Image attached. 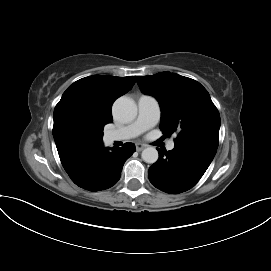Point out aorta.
<instances>
[{
	"label": "aorta",
	"mask_w": 271,
	"mask_h": 271,
	"mask_svg": "<svg viewBox=\"0 0 271 271\" xmlns=\"http://www.w3.org/2000/svg\"><path fill=\"white\" fill-rule=\"evenodd\" d=\"M113 113L120 121L130 122L137 115V106L132 99L120 97L113 105ZM141 156L146 163L153 164L158 160L159 154L156 148L147 147L142 151Z\"/></svg>",
	"instance_id": "obj_1"
}]
</instances>
